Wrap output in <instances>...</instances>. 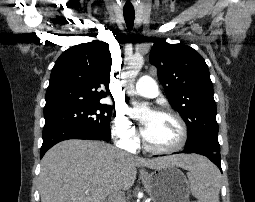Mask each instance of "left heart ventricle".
Returning a JSON list of instances; mask_svg holds the SVG:
<instances>
[{"mask_svg": "<svg viewBox=\"0 0 255 202\" xmlns=\"http://www.w3.org/2000/svg\"><path fill=\"white\" fill-rule=\"evenodd\" d=\"M141 121L143 134L152 146L168 148L178 143L180 129L172 117L147 112Z\"/></svg>", "mask_w": 255, "mask_h": 202, "instance_id": "obj_1", "label": "left heart ventricle"}]
</instances>
